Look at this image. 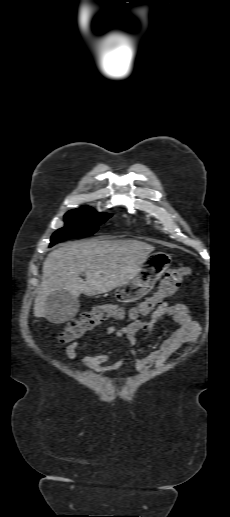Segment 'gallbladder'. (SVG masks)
Instances as JSON below:
<instances>
[{
  "mask_svg": "<svg viewBox=\"0 0 230 517\" xmlns=\"http://www.w3.org/2000/svg\"><path fill=\"white\" fill-rule=\"evenodd\" d=\"M46 318L54 323L72 319L79 310V302L65 290L52 293L45 303Z\"/></svg>",
  "mask_w": 230,
  "mask_h": 517,
  "instance_id": "bac80fb5",
  "label": "gallbladder"
}]
</instances>
